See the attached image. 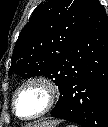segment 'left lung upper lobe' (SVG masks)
<instances>
[{
	"instance_id": "left-lung-upper-lobe-1",
	"label": "left lung upper lobe",
	"mask_w": 108,
	"mask_h": 127,
	"mask_svg": "<svg viewBox=\"0 0 108 127\" xmlns=\"http://www.w3.org/2000/svg\"><path fill=\"white\" fill-rule=\"evenodd\" d=\"M89 0H48L33 11L13 51L9 75L24 79L44 75L59 86L63 65L82 22Z\"/></svg>"
}]
</instances>
